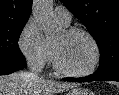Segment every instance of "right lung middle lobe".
Here are the masks:
<instances>
[{
    "mask_svg": "<svg viewBox=\"0 0 119 95\" xmlns=\"http://www.w3.org/2000/svg\"><path fill=\"white\" fill-rule=\"evenodd\" d=\"M26 22L0 26V61L25 62L18 39Z\"/></svg>",
    "mask_w": 119,
    "mask_h": 95,
    "instance_id": "right-lung-middle-lobe-1",
    "label": "right lung middle lobe"
}]
</instances>
